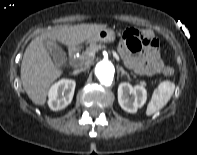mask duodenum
Wrapping results in <instances>:
<instances>
[{
    "label": "duodenum",
    "mask_w": 197,
    "mask_h": 155,
    "mask_svg": "<svg viewBox=\"0 0 197 155\" xmlns=\"http://www.w3.org/2000/svg\"><path fill=\"white\" fill-rule=\"evenodd\" d=\"M75 52H76V51H75V49H73V48H72V49H70V51H69L70 55H74V54H75Z\"/></svg>",
    "instance_id": "duodenum-1"
}]
</instances>
